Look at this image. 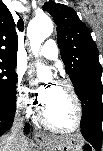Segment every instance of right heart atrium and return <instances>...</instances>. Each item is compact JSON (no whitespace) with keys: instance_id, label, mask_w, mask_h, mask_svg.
Listing matches in <instances>:
<instances>
[{"instance_id":"1","label":"right heart atrium","mask_w":103,"mask_h":151,"mask_svg":"<svg viewBox=\"0 0 103 151\" xmlns=\"http://www.w3.org/2000/svg\"><path fill=\"white\" fill-rule=\"evenodd\" d=\"M16 105L19 110L26 114H30L33 110V102L28 96V93L24 88L21 79L17 80L16 85Z\"/></svg>"}]
</instances>
